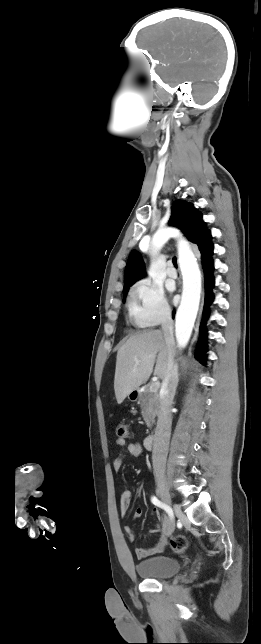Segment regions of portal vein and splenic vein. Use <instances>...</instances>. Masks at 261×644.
Instances as JSON below:
<instances>
[{"label": "portal vein and splenic vein", "instance_id": "1", "mask_svg": "<svg viewBox=\"0 0 261 644\" xmlns=\"http://www.w3.org/2000/svg\"><path fill=\"white\" fill-rule=\"evenodd\" d=\"M136 364H139V361H138V360H136ZM159 387H160V382H159V381H156V382H153V383L150 385L149 389H150V391H151V392H157V390L159 389Z\"/></svg>", "mask_w": 261, "mask_h": 644}]
</instances>
